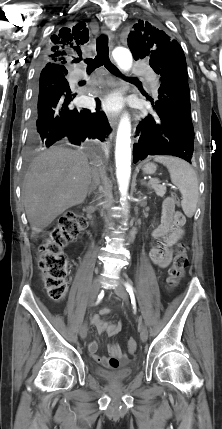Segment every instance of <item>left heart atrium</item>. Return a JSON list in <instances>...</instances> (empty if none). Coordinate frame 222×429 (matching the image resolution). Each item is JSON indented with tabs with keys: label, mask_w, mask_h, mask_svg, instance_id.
<instances>
[{
	"label": "left heart atrium",
	"mask_w": 222,
	"mask_h": 429,
	"mask_svg": "<svg viewBox=\"0 0 222 429\" xmlns=\"http://www.w3.org/2000/svg\"><path fill=\"white\" fill-rule=\"evenodd\" d=\"M121 105V98L116 94L108 95L102 101V108L108 113L117 112Z\"/></svg>",
	"instance_id": "1"
}]
</instances>
